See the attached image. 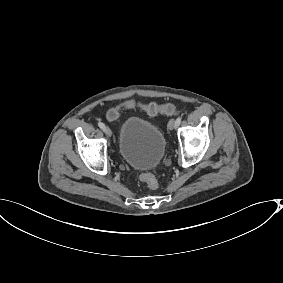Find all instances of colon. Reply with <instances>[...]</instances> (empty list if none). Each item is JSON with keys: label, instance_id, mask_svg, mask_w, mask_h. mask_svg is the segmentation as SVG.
Instances as JSON below:
<instances>
[{"label": "colon", "instance_id": "5ec220e1", "mask_svg": "<svg viewBox=\"0 0 283 283\" xmlns=\"http://www.w3.org/2000/svg\"><path fill=\"white\" fill-rule=\"evenodd\" d=\"M136 108L141 109L150 115H156L158 113L169 115V114H173L175 111V106L170 103L157 105L156 103L143 104L136 102L134 100H128L109 110L107 114V119L109 121H113L119 116V114L123 110L136 109ZM139 178L142 182L146 183L149 186V188L151 189L158 188V181L153 173L151 172L141 173Z\"/></svg>", "mask_w": 283, "mask_h": 283}]
</instances>
